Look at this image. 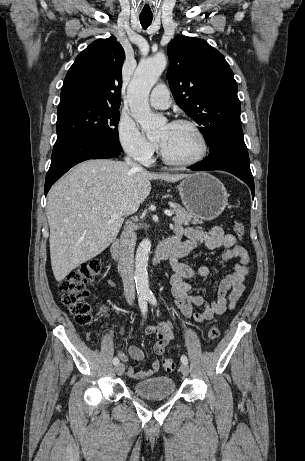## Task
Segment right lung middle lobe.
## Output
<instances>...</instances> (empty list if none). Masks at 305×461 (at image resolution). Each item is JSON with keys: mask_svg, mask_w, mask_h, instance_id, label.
Here are the masks:
<instances>
[{"mask_svg": "<svg viewBox=\"0 0 305 461\" xmlns=\"http://www.w3.org/2000/svg\"><path fill=\"white\" fill-rule=\"evenodd\" d=\"M119 107L77 103L58 108L56 143L95 139L122 150L118 138Z\"/></svg>", "mask_w": 305, "mask_h": 461, "instance_id": "1", "label": "right lung middle lobe"}]
</instances>
